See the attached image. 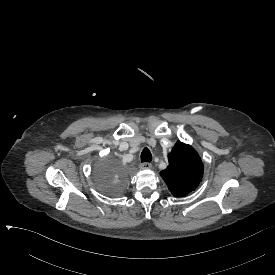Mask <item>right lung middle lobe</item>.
<instances>
[{
    "label": "right lung middle lobe",
    "instance_id": "right-lung-middle-lobe-1",
    "mask_svg": "<svg viewBox=\"0 0 275 275\" xmlns=\"http://www.w3.org/2000/svg\"><path fill=\"white\" fill-rule=\"evenodd\" d=\"M102 193L109 197L119 195L130 180L128 165L114 153L100 155L93 165Z\"/></svg>",
    "mask_w": 275,
    "mask_h": 275
}]
</instances>
